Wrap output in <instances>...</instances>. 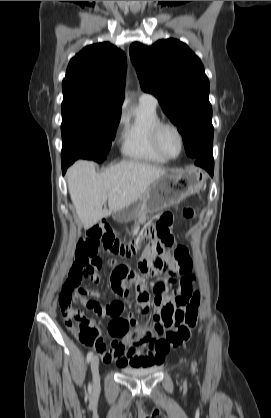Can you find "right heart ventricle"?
<instances>
[{
    "label": "right heart ventricle",
    "mask_w": 271,
    "mask_h": 418,
    "mask_svg": "<svg viewBox=\"0 0 271 418\" xmlns=\"http://www.w3.org/2000/svg\"><path fill=\"white\" fill-rule=\"evenodd\" d=\"M159 122L156 106L139 102L124 119L122 153L138 161L166 163L167 160L155 150L152 143V130Z\"/></svg>",
    "instance_id": "obj_1"
}]
</instances>
